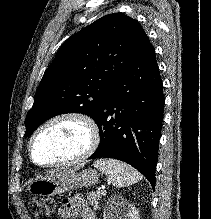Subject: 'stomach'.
<instances>
[{
	"mask_svg": "<svg viewBox=\"0 0 211 219\" xmlns=\"http://www.w3.org/2000/svg\"><path fill=\"white\" fill-rule=\"evenodd\" d=\"M98 181L99 174L96 170L88 169L79 172L68 170L33 182L29 186V191L38 196H54L73 189L92 186Z\"/></svg>",
	"mask_w": 211,
	"mask_h": 219,
	"instance_id": "1",
	"label": "stomach"
}]
</instances>
